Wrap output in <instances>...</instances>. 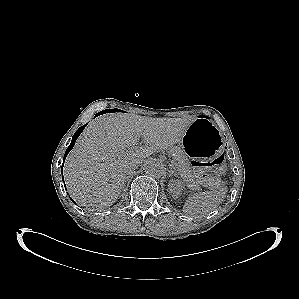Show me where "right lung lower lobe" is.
<instances>
[{"instance_id": "right-lung-lower-lobe-1", "label": "right lung lower lobe", "mask_w": 299, "mask_h": 299, "mask_svg": "<svg viewBox=\"0 0 299 299\" xmlns=\"http://www.w3.org/2000/svg\"><path fill=\"white\" fill-rule=\"evenodd\" d=\"M87 126V124L83 125L82 127H80L74 134L73 138H72V141H71V144L69 145V147L67 148L66 152H65V156H64V159H63V162L65 161L66 159V156L68 155V153L71 151V149L73 148V146L75 145V141L76 139L79 137V135L82 133V131L84 130V128ZM64 165V163H63ZM63 165H62V169H63ZM62 178H63V173H62ZM64 180V179H63ZM72 200V199H71ZM73 201V200H72Z\"/></svg>"}]
</instances>
